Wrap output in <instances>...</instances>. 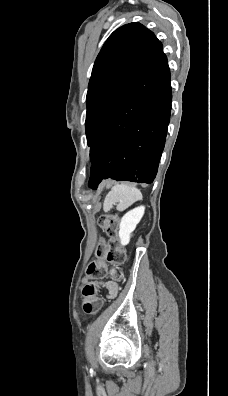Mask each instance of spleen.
I'll use <instances>...</instances> for the list:
<instances>
[{"label": "spleen", "mask_w": 228, "mask_h": 396, "mask_svg": "<svg viewBox=\"0 0 228 396\" xmlns=\"http://www.w3.org/2000/svg\"><path fill=\"white\" fill-rule=\"evenodd\" d=\"M142 199V194L135 186L127 184H117L112 187L111 191L106 195L103 208L108 212L117 204L118 211H124L134 202Z\"/></svg>", "instance_id": "3e777b00"}]
</instances>
